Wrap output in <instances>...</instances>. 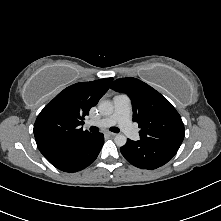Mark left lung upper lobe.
Here are the masks:
<instances>
[{"instance_id": "left-lung-upper-lobe-1", "label": "left lung upper lobe", "mask_w": 221, "mask_h": 221, "mask_svg": "<svg viewBox=\"0 0 221 221\" xmlns=\"http://www.w3.org/2000/svg\"><path fill=\"white\" fill-rule=\"evenodd\" d=\"M111 89L129 95L133 121L139 124L140 141L179 149L184 139V124L172 104L143 81L127 77L113 82Z\"/></svg>"}]
</instances>
